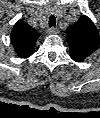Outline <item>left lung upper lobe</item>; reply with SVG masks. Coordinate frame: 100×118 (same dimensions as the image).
<instances>
[{"label": "left lung upper lobe", "mask_w": 100, "mask_h": 118, "mask_svg": "<svg viewBox=\"0 0 100 118\" xmlns=\"http://www.w3.org/2000/svg\"><path fill=\"white\" fill-rule=\"evenodd\" d=\"M67 42L70 56L81 62L90 56L99 46V33L87 16L81 18L67 29Z\"/></svg>", "instance_id": "obj_1"}]
</instances>
